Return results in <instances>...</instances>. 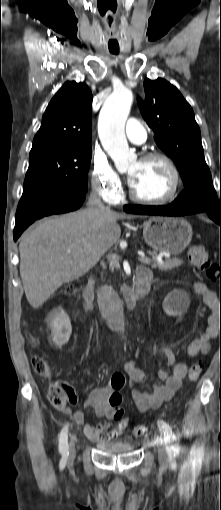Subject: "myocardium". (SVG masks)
Masks as SVG:
<instances>
[{"label":"myocardium","mask_w":221,"mask_h":510,"mask_svg":"<svg viewBox=\"0 0 221 510\" xmlns=\"http://www.w3.org/2000/svg\"><path fill=\"white\" fill-rule=\"evenodd\" d=\"M156 159L165 162L171 171L172 187H171L170 192L162 198L149 199V198H144V197L137 195L130 184L129 197L132 201L139 203V204H143V205L159 206V205H165V204L173 201L177 197V195L180 191V187H181V175H180V172H179V169H178L176 163L169 155H167L163 152H148V153H145L140 158V161L146 162V161H151V160H156Z\"/></svg>","instance_id":"f54148a6"}]
</instances>
